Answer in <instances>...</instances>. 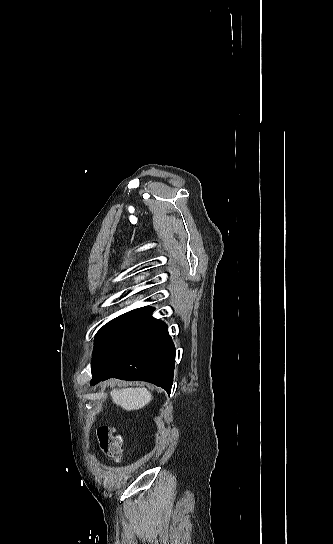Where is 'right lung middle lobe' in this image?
Segmentation results:
<instances>
[{
	"label": "right lung middle lobe",
	"mask_w": 333,
	"mask_h": 544,
	"mask_svg": "<svg viewBox=\"0 0 333 544\" xmlns=\"http://www.w3.org/2000/svg\"><path fill=\"white\" fill-rule=\"evenodd\" d=\"M152 310L149 306L138 308L105 324L95 337L92 366L102 364L147 331L156 322Z\"/></svg>",
	"instance_id": "1"
}]
</instances>
